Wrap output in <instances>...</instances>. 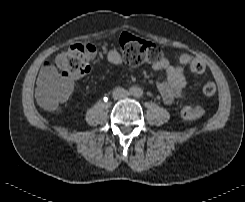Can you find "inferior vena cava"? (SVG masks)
Here are the masks:
<instances>
[{
	"label": "inferior vena cava",
	"instance_id": "obj_1",
	"mask_svg": "<svg viewBox=\"0 0 245 202\" xmlns=\"http://www.w3.org/2000/svg\"><path fill=\"white\" fill-rule=\"evenodd\" d=\"M112 95L114 99H122L127 97L129 92L123 88H115Z\"/></svg>",
	"mask_w": 245,
	"mask_h": 202
}]
</instances>
